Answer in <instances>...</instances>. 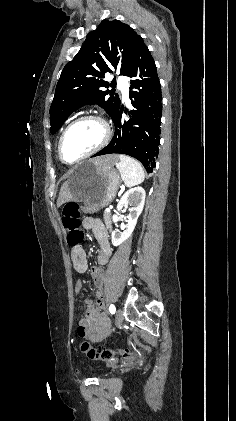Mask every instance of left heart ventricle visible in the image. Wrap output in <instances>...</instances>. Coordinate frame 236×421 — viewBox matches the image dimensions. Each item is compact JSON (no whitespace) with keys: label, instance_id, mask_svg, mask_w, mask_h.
<instances>
[{"label":"left heart ventricle","instance_id":"obj_1","mask_svg":"<svg viewBox=\"0 0 236 421\" xmlns=\"http://www.w3.org/2000/svg\"><path fill=\"white\" fill-rule=\"evenodd\" d=\"M104 130L101 124L84 121L72 127L63 143V156L72 162L95 148L103 139Z\"/></svg>","mask_w":236,"mask_h":421}]
</instances>
